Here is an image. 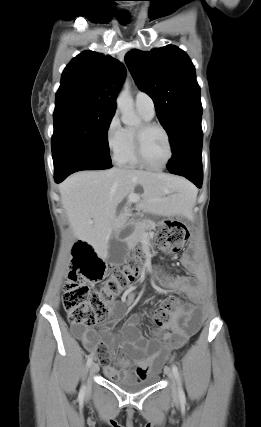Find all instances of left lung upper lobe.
I'll list each match as a JSON object with an SVG mask.
<instances>
[{
  "mask_svg": "<svg viewBox=\"0 0 261 427\" xmlns=\"http://www.w3.org/2000/svg\"><path fill=\"white\" fill-rule=\"evenodd\" d=\"M125 62L139 89L153 99L171 144L181 131L201 124L200 87L195 67L183 50L174 45L150 52L133 49Z\"/></svg>",
  "mask_w": 261,
  "mask_h": 427,
  "instance_id": "left-lung-upper-lobe-1",
  "label": "left lung upper lobe"
}]
</instances>
